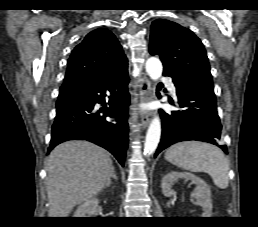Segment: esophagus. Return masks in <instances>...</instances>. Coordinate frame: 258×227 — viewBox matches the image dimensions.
Segmentation results:
<instances>
[{"instance_id":"34e87169","label":"esophagus","mask_w":258,"mask_h":227,"mask_svg":"<svg viewBox=\"0 0 258 227\" xmlns=\"http://www.w3.org/2000/svg\"><path fill=\"white\" fill-rule=\"evenodd\" d=\"M139 98L142 102H148L153 98V89L147 77H143L139 84ZM152 119V112L148 111L141 116V123L147 127Z\"/></svg>"}]
</instances>
